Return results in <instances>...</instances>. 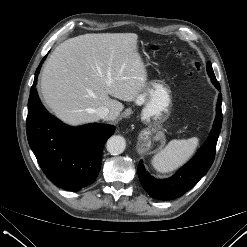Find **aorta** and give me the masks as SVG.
Instances as JSON below:
<instances>
[{
    "label": "aorta",
    "instance_id": "1",
    "mask_svg": "<svg viewBox=\"0 0 247 247\" xmlns=\"http://www.w3.org/2000/svg\"><path fill=\"white\" fill-rule=\"evenodd\" d=\"M106 148L111 155H119L124 152L126 148V141L124 137L114 135L108 139Z\"/></svg>",
    "mask_w": 247,
    "mask_h": 247
}]
</instances>
